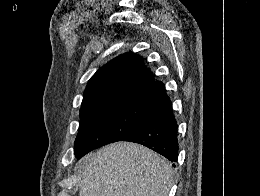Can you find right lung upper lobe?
I'll return each instance as SVG.
<instances>
[{
    "label": "right lung upper lobe",
    "instance_id": "right-lung-upper-lobe-1",
    "mask_svg": "<svg viewBox=\"0 0 260 196\" xmlns=\"http://www.w3.org/2000/svg\"><path fill=\"white\" fill-rule=\"evenodd\" d=\"M165 94L163 83L154 80L143 58L126 53L108 62L91 77L82 106L132 103L144 107Z\"/></svg>",
    "mask_w": 260,
    "mask_h": 196
}]
</instances>
